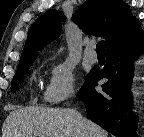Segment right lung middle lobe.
Listing matches in <instances>:
<instances>
[{
  "instance_id": "dd1d6c3e",
  "label": "right lung middle lobe",
  "mask_w": 144,
  "mask_h": 137,
  "mask_svg": "<svg viewBox=\"0 0 144 137\" xmlns=\"http://www.w3.org/2000/svg\"><path fill=\"white\" fill-rule=\"evenodd\" d=\"M34 60H31L23 65L18 66L17 71L15 76L13 77L12 83H11V89L12 91H16L18 84L22 81L24 74L26 73V71L29 69L30 65L33 63ZM90 75V73H89ZM88 75V77H89ZM87 77V79H88ZM86 79V80H87Z\"/></svg>"
}]
</instances>
